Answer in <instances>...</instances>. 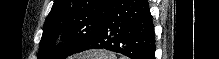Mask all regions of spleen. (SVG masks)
<instances>
[{"label": "spleen", "instance_id": "obj_1", "mask_svg": "<svg viewBox=\"0 0 219 59\" xmlns=\"http://www.w3.org/2000/svg\"><path fill=\"white\" fill-rule=\"evenodd\" d=\"M85 56L90 57V59H108V57L105 54L97 55V54H94L93 52H89Z\"/></svg>", "mask_w": 219, "mask_h": 59}]
</instances>
